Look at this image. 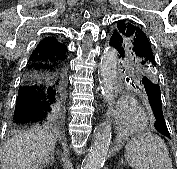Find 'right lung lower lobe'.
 <instances>
[{
    "instance_id": "1",
    "label": "right lung lower lobe",
    "mask_w": 177,
    "mask_h": 169,
    "mask_svg": "<svg viewBox=\"0 0 177 169\" xmlns=\"http://www.w3.org/2000/svg\"><path fill=\"white\" fill-rule=\"evenodd\" d=\"M65 108V59L33 52L19 88L13 124L46 121L56 125L64 119Z\"/></svg>"
}]
</instances>
